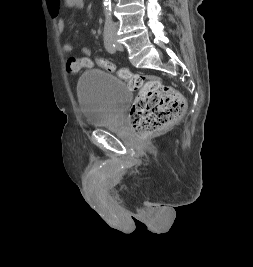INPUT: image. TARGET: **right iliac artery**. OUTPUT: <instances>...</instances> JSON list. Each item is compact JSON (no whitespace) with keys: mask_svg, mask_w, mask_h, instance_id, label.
Returning a JSON list of instances; mask_svg holds the SVG:
<instances>
[{"mask_svg":"<svg viewBox=\"0 0 253 267\" xmlns=\"http://www.w3.org/2000/svg\"><path fill=\"white\" fill-rule=\"evenodd\" d=\"M104 45L109 53L114 54L116 52V46L113 41L112 32L110 30H105L104 32Z\"/></svg>","mask_w":253,"mask_h":267,"instance_id":"right-iliac-artery-1","label":"right iliac artery"}]
</instances>
